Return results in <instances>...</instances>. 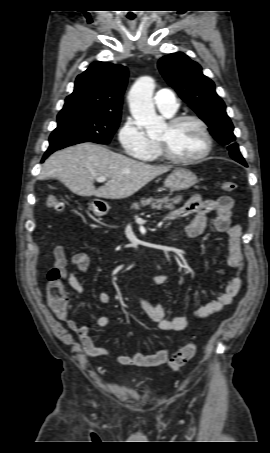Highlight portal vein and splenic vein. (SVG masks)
I'll return each mask as SVG.
<instances>
[{"label":"portal vein and splenic vein","instance_id":"18ae733b","mask_svg":"<svg viewBox=\"0 0 270 453\" xmlns=\"http://www.w3.org/2000/svg\"><path fill=\"white\" fill-rule=\"evenodd\" d=\"M96 181L102 183V182L107 181V178L104 177V176H100V177H97V178H96Z\"/></svg>","mask_w":270,"mask_h":453}]
</instances>
